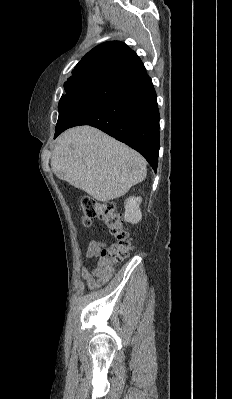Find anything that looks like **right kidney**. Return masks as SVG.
Masks as SVG:
<instances>
[{
	"label": "right kidney",
	"instance_id": "right-kidney-1",
	"mask_svg": "<svg viewBox=\"0 0 232 399\" xmlns=\"http://www.w3.org/2000/svg\"><path fill=\"white\" fill-rule=\"evenodd\" d=\"M141 201V198H133V196L126 200L124 213L125 221H130V223H138V221H140L142 217V213L139 207Z\"/></svg>",
	"mask_w": 232,
	"mask_h": 399
}]
</instances>
